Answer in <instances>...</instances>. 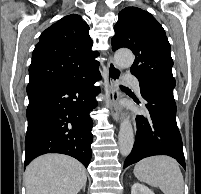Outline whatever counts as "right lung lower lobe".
Listing matches in <instances>:
<instances>
[{
    "instance_id": "obj_1",
    "label": "right lung lower lobe",
    "mask_w": 201,
    "mask_h": 194,
    "mask_svg": "<svg viewBox=\"0 0 201 194\" xmlns=\"http://www.w3.org/2000/svg\"><path fill=\"white\" fill-rule=\"evenodd\" d=\"M98 70L73 82H38L27 86L25 166L46 153H62L85 167L91 160L93 121L89 115L100 92Z\"/></svg>"
}]
</instances>
